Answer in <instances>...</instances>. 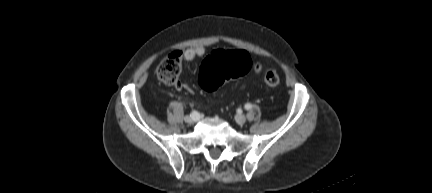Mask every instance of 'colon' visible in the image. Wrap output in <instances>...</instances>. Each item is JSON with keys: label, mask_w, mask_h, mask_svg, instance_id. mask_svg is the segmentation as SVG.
I'll return each mask as SVG.
<instances>
[{"label": "colon", "mask_w": 432, "mask_h": 193, "mask_svg": "<svg viewBox=\"0 0 432 193\" xmlns=\"http://www.w3.org/2000/svg\"><path fill=\"white\" fill-rule=\"evenodd\" d=\"M253 68L249 54L242 50H217L206 58L199 72L200 86L208 91L215 90L223 80L247 74ZM181 72V56L178 52L167 55L159 63L156 74L165 84H175ZM264 82L270 87L280 83L275 71H267Z\"/></svg>", "instance_id": "1"}]
</instances>
